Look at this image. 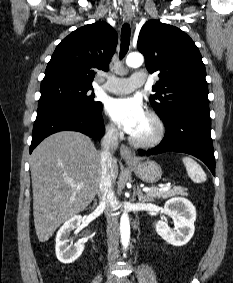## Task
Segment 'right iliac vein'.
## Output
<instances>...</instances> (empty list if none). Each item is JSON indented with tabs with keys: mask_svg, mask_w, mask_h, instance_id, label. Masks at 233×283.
<instances>
[{
	"mask_svg": "<svg viewBox=\"0 0 233 283\" xmlns=\"http://www.w3.org/2000/svg\"><path fill=\"white\" fill-rule=\"evenodd\" d=\"M106 283H114V279L111 276H108Z\"/></svg>",
	"mask_w": 233,
	"mask_h": 283,
	"instance_id": "obj_1",
	"label": "right iliac vein"
}]
</instances>
